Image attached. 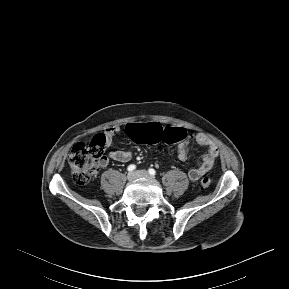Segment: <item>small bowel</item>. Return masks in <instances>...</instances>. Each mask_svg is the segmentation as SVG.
Returning <instances> with one entry per match:
<instances>
[{
  "label": "small bowel",
  "instance_id": "small-bowel-1",
  "mask_svg": "<svg viewBox=\"0 0 289 289\" xmlns=\"http://www.w3.org/2000/svg\"><path fill=\"white\" fill-rule=\"evenodd\" d=\"M121 131L120 126H113L110 128H107L104 133L102 134L105 138L106 146H110L113 140V137L115 134L119 133ZM196 142L206 147V152L202 156L201 163L198 167L192 168L188 172V176L191 181H197L201 176L208 173L211 168L214 165V162L216 158L218 157V148L216 144L206 135L204 134H197L195 135ZM177 156L179 160L185 161L188 157V146L186 141H182L178 144L177 147ZM108 157L111 160L126 163L132 159V153L127 150H114L110 151L108 154ZM108 162L107 158H104V160L101 163V166L106 165Z\"/></svg>",
  "mask_w": 289,
  "mask_h": 289
}]
</instances>
